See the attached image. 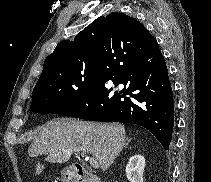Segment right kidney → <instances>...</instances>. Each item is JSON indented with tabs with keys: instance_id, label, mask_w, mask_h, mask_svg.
<instances>
[{
	"instance_id": "1",
	"label": "right kidney",
	"mask_w": 211,
	"mask_h": 182,
	"mask_svg": "<svg viewBox=\"0 0 211 182\" xmlns=\"http://www.w3.org/2000/svg\"><path fill=\"white\" fill-rule=\"evenodd\" d=\"M145 159L142 155H134L126 166V176L130 182H143Z\"/></svg>"
}]
</instances>
